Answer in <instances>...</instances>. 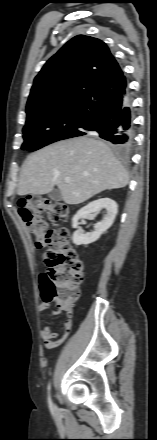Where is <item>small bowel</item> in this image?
Segmentation results:
<instances>
[{"label": "small bowel", "mask_w": 157, "mask_h": 440, "mask_svg": "<svg viewBox=\"0 0 157 440\" xmlns=\"http://www.w3.org/2000/svg\"><path fill=\"white\" fill-rule=\"evenodd\" d=\"M50 308L47 302H43L39 305V311L46 312ZM71 328V322L67 320L64 324V333L59 336L58 333L54 332L50 326L45 327L41 331V337L44 341L45 346L50 349L54 346L60 345L63 340L67 337Z\"/></svg>", "instance_id": "small-bowel-1"}]
</instances>
